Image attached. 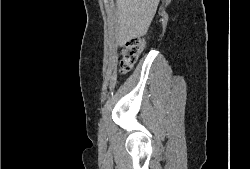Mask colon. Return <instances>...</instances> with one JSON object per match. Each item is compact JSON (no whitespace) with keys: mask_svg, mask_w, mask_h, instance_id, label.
Listing matches in <instances>:
<instances>
[{"mask_svg":"<svg viewBox=\"0 0 250 169\" xmlns=\"http://www.w3.org/2000/svg\"><path fill=\"white\" fill-rule=\"evenodd\" d=\"M143 37V35L141 37H131L122 45L119 55V66L122 74L129 72L133 68L139 56L144 51L145 43L150 42L149 38Z\"/></svg>","mask_w":250,"mask_h":169,"instance_id":"obj_1","label":"colon"}]
</instances>
